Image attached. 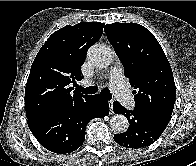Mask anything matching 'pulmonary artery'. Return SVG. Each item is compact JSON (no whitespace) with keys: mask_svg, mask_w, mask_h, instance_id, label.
Returning <instances> with one entry per match:
<instances>
[{"mask_svg":"<svg viewBox=\"0 0 196 166\" xmlns=\"http://www.w3.org/2000/svg\"><path fill=\"white\" fill-rule=\"evenodd\" d=\"M110 89L114 93L115 97L118 101L127 108H132L134 105L133 97L129 93L125 80L123 71L121 68H114L111 70L110 75ZM90 84L89 81H83V86H88Z\"/></svg>","mask_w":196,"mask_h":166,"instance_id":"1","label":"pulmonary artery"}]
</instances>
